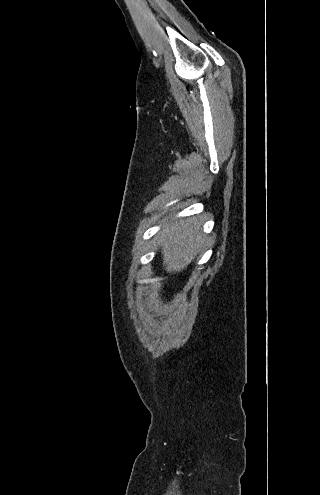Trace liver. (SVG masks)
Instances as JSON below:
<instances>
[{"label":"liver","instance_id":"1","mask_svg":"<svg viewBox=\"0 0 320 495\" xmlns=\"http://www.w3.org/2000/svg\"><path fill=\"white\" fill-rule=\"evenodd\" d=\"M201 225V219L191 217L176 220L158 233L163 265L168 273L181 272L200 252L206 240Z\"/></svg>","mask_w":320,"mask_h":495}]
</instances>
